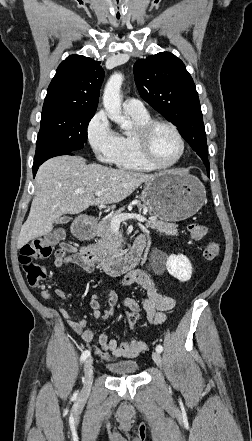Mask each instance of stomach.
<instances>
[{"label":"stomach","instance_id":"stomach-1","mask_svg":"<svg viewBox=\"0 0 252 441\" xmlns=\"http://www.w3.org/2000/svg\"><path fill=\"white\" fill-rule=\"evenodd\" d=\"M206 198L201 181L179 169L163 171L147 181L141 201L163 221L177 222L196 214Z\"/></svg>","mask_w":252,"mask_h":441}]
</instances>
